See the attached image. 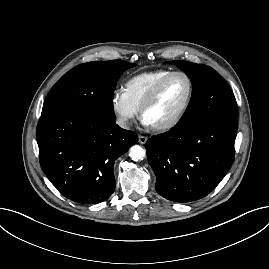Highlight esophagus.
I'll return each instance as SVG.
<instances>
[{
  "mask_svg": "<svg viewBox=\"0 0 269 269\" xmlns=\"http://www.w3.org/2000/svg\"><path fill=\"white\" fill-rule=\"evenodd\" d=\"M138 141L140 144H145L147 142V137L139 135Z\"/></svg>",
  "mask_w": 269,
  "mask_h": 269,
  "instance_id": "obj_1",
  "label": "esophagus"
}]
</instances>
